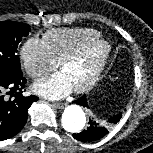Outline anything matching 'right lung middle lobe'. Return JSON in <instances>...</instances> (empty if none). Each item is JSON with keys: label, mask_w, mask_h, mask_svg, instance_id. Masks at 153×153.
Wrapping results in <instances>:
<instances>
[{"label": "right lung middle lobe", "mask_w": 153, "mask_h": 153, "mask_svg": "<svg viewBox=\"0 0 153 153\" xmlns=\"http://www.w3.org/2000/svg\"><path fill=\"white\" fill-rule=\"evenodd\" d=\"M30 32L29 25L14 21L0 22V71L22 75L17 47Z\"/></svg>", "instance_id": "dd1d6c3e"}]
</instances>
